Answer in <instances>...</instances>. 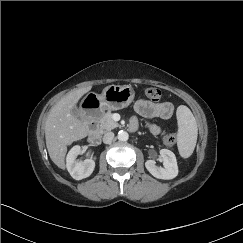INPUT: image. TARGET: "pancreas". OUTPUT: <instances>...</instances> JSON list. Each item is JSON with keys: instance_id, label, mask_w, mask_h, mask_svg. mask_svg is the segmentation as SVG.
Wrapping results in <instances>:
<instances>
[{"instance_id": "pancreas-1", "label": "pancreas", "mask_w": 243, "mask_h": 243, "mask_svg": "<svg viewBox=\"0 0 243 243\" xmlns=\"http://www.w3.org/2000/svg\"><path fill=\"white\" fill-rule=\"evenodd\" d=\"M118 126L119 124L112 119V113L110 111L105 113L104 116L99 120V129L101 133L110 131Z\"/></svg>"}]
</instances>
